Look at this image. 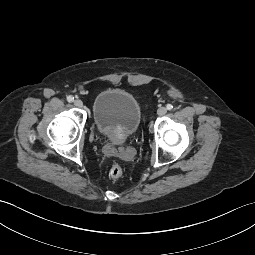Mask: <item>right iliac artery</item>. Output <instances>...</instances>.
Returning a JSON list of instances; mask_svg holds the SVG:
<instances>
[{
	"instance_id": "right-iliac-artery-1",
	"label": "right iliac artery",
	"mask_w": 255,
	"mask_h": 255,
	"mask_svg": "<svg viewBox=\"0 0 255 255\" xmlns=\"http://www.w3.org/2000/svg\"><path fill=\"white\" fill-rule=\"evenodd\" d=\"M67 101H68V102H73V101H74V97L71 96V95H69V96L67 97Z\"/></svg>"
}]
</instances>
